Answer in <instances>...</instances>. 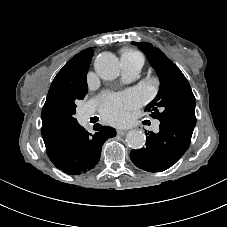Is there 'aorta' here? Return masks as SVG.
Here are the masks:
<instances>
[{"mask_svg":"<svg viewBox=\"0 0 227 227\" xmlns=\"http://www.w3.org/2000/svg\"><path fill=\"white\" fill-rule=\"evenodd\" d=\"M94 69L101 79L113 80L119 74V60L113 53L103 52L96 57ZM126 141L133 149H139L145 145L146 136L141 131L131 130L126 136Z\"/></svg>","mask_w":227,"mask_h":227,"instance_id":"1","label":"aorta"}]
</instances>
